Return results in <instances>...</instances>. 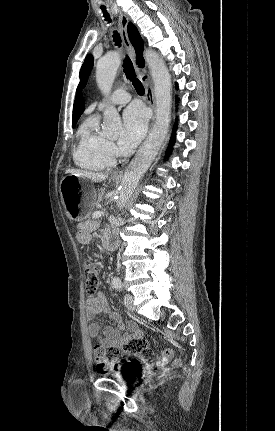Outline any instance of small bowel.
<instances>
[{
  "instance_id": "obj_1",
  "label": "small bowel",
  "mask_w": 275,
  "mask_h": 431,
  "mask_svg": "<svg viewBox=\"0 0 275 431\" xmlns=\"http://www.w3.org/2000/svg\"><path fill=\"white\" fill-rule=\"evenodd\" d=\"M93 222H84L78 226L77 239L81 244H88L90 242V233L94 228ZM104 314L115 322V326L105 327L100 331V326L94 322L97 315ZM86 318L89 321L88 330L91 337L95 338L99 333L102 334V344L109 348H123L126 344L133 340L141 339V331L133 322L123 323L120 316L111 311L105 297L102 294L88 298L86 304ZM126 330L125 334L121 332Z\"/></svg>"
}]
</instances>
